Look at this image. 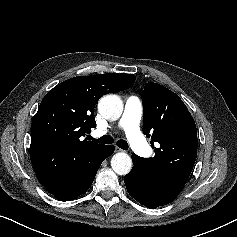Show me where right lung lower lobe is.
Segmentation results:
<instances>
[{"label":"right lung lower lobe","instance_id":"obj_1","mask_svg":"<svg viewBox=\"0 0 237 237\" xmlns=\"http://www.w3.org/2000/svg\"><path fill=\"white\" fill-rule=\"evenodd\" d=\"M114 150L113 145H104L97 152L83 157L76 166L74 174L76 181L71 187L56 186L46 188L47 191L61 201H70L84 194L92 185L102 161L113 154Z\"/></svg>","mask_w":237,"mask_h":237}]
</instances>
